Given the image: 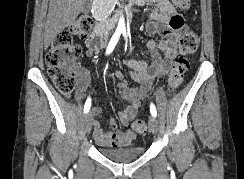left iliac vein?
<instances>
[{
    "mask_svg": "<svg viewBox=\"0 0 244 179\" xmlns=\"http://www.w3.org/2000/svg\"><path fill=\"white\" fill-rule=\"evenodd\" d=\"M148 124H149L150 131L154 135H157L158 134V130H159V122H158V120L154 116H150V118L148 120Z\"/></svg>",
    "mask_w": 244,
    "mask_h": 179,
    "instance_id": "obj_1",
    "label": "left iliac vein"
}]
</instances>
